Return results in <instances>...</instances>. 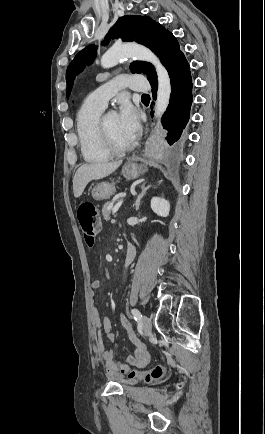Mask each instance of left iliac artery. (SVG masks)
I'll use <instances>...</instances> for the list:
<instances>
[{
  "instance_id": "1",
  "label": "left iliac artery",
  "mask_w": 265,
  "mask_h": 434,
  "mask_svg": "<svg viewBox=\"0 0 265 434\" xmlns=\"http://www.w3.org/2000/svg\"><path fill=\"white\" fill-rule=\"evenodd\" d=\"M131 313H132V315H133V318L136 320V321H141V319H142V315H141V313L139 312V310L138 309H132L131 310Z\"/></svg>"
}]
</instances>
